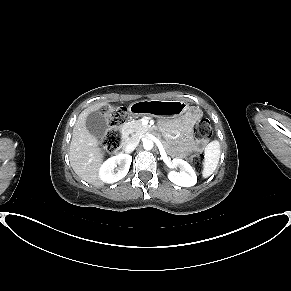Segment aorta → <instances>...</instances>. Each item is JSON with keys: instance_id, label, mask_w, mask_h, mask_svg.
Listing matches in <instances>:
<instances>
[{"instance_id": "obj_1", "label": "aorta", "mask_w": 291, "mask_h": 291, "mask_svg": "<svg viewBox=\"0 0 291 291\" xmlns=\"http://www.w3.org/2000/svg\"><path fill=\"white\" fill-rule=\"evenodd\" d=\"M153 141L147 139L143 141V147L145 150H151L153 148Z\"/></svg>"}]
</instances>
